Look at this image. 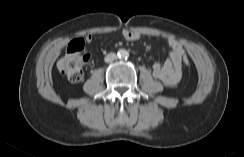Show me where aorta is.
I'll use <instances>...</instances> for the list:
<instances>
[{"label": "aorta", "mask_w": 244, "mask_h": 157, "mask_svg": "<svg viewBox=\"0 0 244 157\" xmlns=\"http://www.w3.org/2000/svg\"><path fill=\"white\" fill-rule=\"evenodd\" d=\"M120 54H121V56H123V57H124V56H126V55H127V51H124V50H123V51H122Z\"/></svg>", "instance_id": "aorta-1"}]
</instances>
